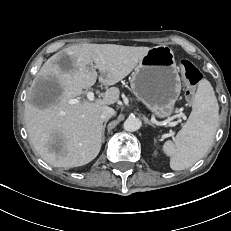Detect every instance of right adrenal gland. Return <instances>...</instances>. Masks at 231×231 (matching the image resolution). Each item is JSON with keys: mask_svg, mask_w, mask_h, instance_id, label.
<instances>
[{"mask_svg": "<svg viewBox=\"0 0 231 231\" xmlns=\"http://www.w3.org/2000/svg\"><path fill=\"white\" fill-rule=\"evenodd\" d=\"M108 120H105L103 127H102V142L104 143L105 141V128H106V124H107Z\"/></svg>", "mask_w": 231, "mask_h": 231, "instance_id": "right-adrenal-gland-1", "label": "right adrenal gland"}]
</instances>
